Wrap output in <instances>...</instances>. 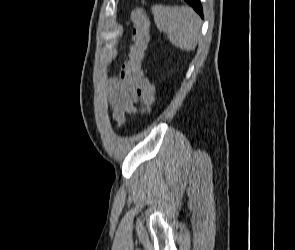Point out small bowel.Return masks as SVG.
<instances>
[{
    "mask_svg": "<svg viewBox=\"0 0 295 250\" xmlns=\"http://www.w3.org/2000/svg\"><path fill=\"white\" fill-rule=\"evenodd\" d=\"M139 96L132 84L117 77L113 79L108 94V101L115 122L122 126L126 122V115L137 111L136 102Z\"/></svg>",
    "mask_w": 295,
    "mask_h": 250,
    "instance_id": "1",
    "label": "small bowel"
}]
</instances>
